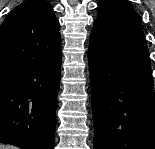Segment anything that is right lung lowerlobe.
Segmentation results:
<instances>
[{
  "instance_id": "1",
  "label": "right lung lower lobe",
  "mask_w": 155,
  "mask_h": 149,
  "mask_svg": "<svg viewBox=\"0 0 155 149\" xmlns=\"http://www.w3.org/2000/svg\"><path fill=\"white\" fill-rule=\"evenodd\" d=\"M61 56L0 83V143L54 149Z\"/></svg>"
}]
</instances>
